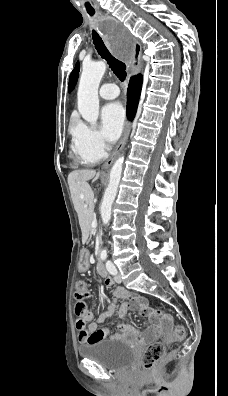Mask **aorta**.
I'll list each match as a JSON object with an SVG mask.
<instances>
[{
    "label": "aorta",
    "mask_w": 228,
    "mask_h": 396,
    "mask_svg": "<svg viewBox=\"0 0 228 396\" xmlns=\"http://www.w3.org/2000/svg\"><path fill=\"white\" fill-rule=\"evenodd\" d=\"M105 71L106 63L103 61L84 64L78 87V111L93 126H96L99 116L98 88ZM123 162L124 157H119L110 171V181L101 204V217L105 226L109 225L111 219V208L121 179Z\"/></svg>",
    "instance_id": "1"
}]
</instances>
